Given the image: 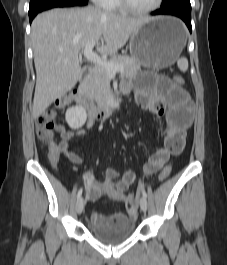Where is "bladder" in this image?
I'll list each match as a JSON object with an SVG mask.
<instances>
[{
    "instance_id": "bladder-1",
    "label": "bladder",
    "mask_w": 227,
    "mask_h": 265,
    "mask_svg": "<svg viewBox=\"0 0 227 265\" xmlns=\"http://www.w3.org/2000/svg\"><path fill=\"white\" fill-rule=\"evenodd\" d=\"M88 229L98 240L108 244H116L130 238L134 234L135 222L132 219H128L119 225L113 226L89 224Z\"/></svg>"
}]
</instances>
